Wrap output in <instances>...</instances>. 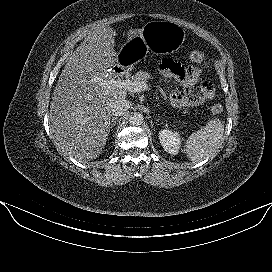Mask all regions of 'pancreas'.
<instances>
[{
	"label": "pancreas",
	"mask_w": 272,
	"mask_h": 272,
	"mask_svg": "<svg viewBox=\"0 0 272 272\" xmlns=\"http://www.w3.org/2000/svg\"><path fill=\"white\" fill-rule=\"evenodd\" d=\"M150 74L145 72V71H139L135 73L132 77V81H137V82H147V80L150 78Z\"/></svg>",
	"instance_id": "pancreas-1"
}]
</instances>
